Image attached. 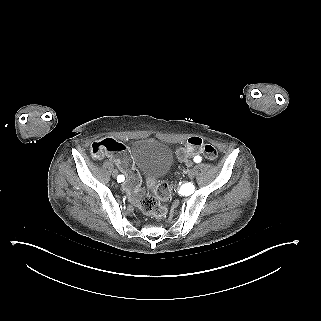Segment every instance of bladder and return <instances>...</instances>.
Here are the masks:
<instances>
[{
    "mask_svg": "<svg viewBox=\"0 0 321 321\" xmlns=\"http://www.w3.org/2000/svg\"><path fill=\"white\" fill-rule=\"evenodd\" d=\"M131 159L135 168L148 180L162 178L172 164L170 148L152 138L138 139L132 143Z\"/></svg>",
    "mask_w": 321,
    "mask_h": 321,
    "instance_id": "1",
    "label": "bladder"
}]
</instances>
